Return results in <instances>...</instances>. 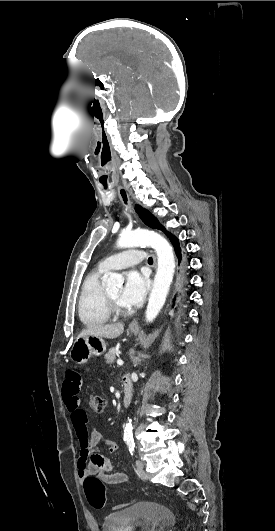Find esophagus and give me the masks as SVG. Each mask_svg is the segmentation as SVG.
<instances>
[{
    "mask_svg": "<svg viewBox=\"0 0 275 531\" xmlns=\"http://www.w3.org/2000/svg\"><path fill=\"white\" fill-rule=\"evenodd\" d=\"M117 190H118V193H119V197L121 199V202L124 206V208L126 210H128L129 212H133V208H132V205H131V201H130V197L128 195V192L125 188H123L122 186H118L117 187ZM138 326V323L136 320L132 321L130 324H129V327L130 328H137Z\"/></svg>",
    "mask_w": 275,
    "mask_h": 531,
    "instance_id": "esophagus-1",
    "label": "esophagus"
}]
</instances>
